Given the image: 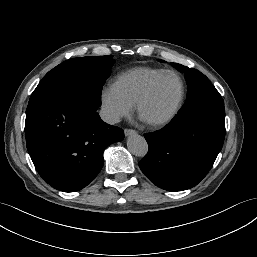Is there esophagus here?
<instances>
[{
    "label": "esophagus",
    "mask_w": 257,
    "mask_h": 257,
    "mask_svg": "<svg viewBox=\"0 0 257 257\" xmlns=\"http://www.w3.org/2000/svg\"><path fill=\"white\" fill-rule=\"evenodd\" d=\"M124 134H125V136H130V135H136L137 132L134 129H125Z\"/></svg>",
    "instance_id": "obj_1"
}]
</instances>
